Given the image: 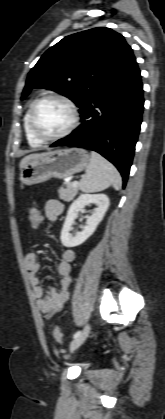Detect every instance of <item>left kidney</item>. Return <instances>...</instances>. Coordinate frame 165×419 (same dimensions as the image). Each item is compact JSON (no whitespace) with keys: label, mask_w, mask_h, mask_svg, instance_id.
Segmentation results:
<instances>
[{"label":"left kidney","mask_w":165,"mask_h":419,"mask_svg":"<svg viewBox=\"0 0 165 419\" xmlns=\"http://www.w3.org/2000/svg\"><path fill=\"white\" fill-rule=\"evenodd\" d=\"M90 204H95L96 208L92 212V215L87 217L86 226L83 230L73 236L70 231L72 230V225L77 218L78 212ZM109 204V198L105 194H81L71 204L68 210L60 236L62 244L65 247H75L84 243L103 220Z\"/></svg>","instance_id":"obj_1"}]
</instances>
